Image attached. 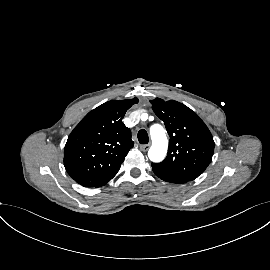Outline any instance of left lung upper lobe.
Segmentation results:
<instances>
[{
	"mask_svg": "<svg viewBox=\"0 0 270 270\" xmlns=\"http://www.w3.org/2000/svg\"><path fill=\"white\" fill-rule=\"evenodd\" d=\"M155 114L164 122L170 136L166 158L152 163V168L182 177L196 179L210 164L213 137L199 116L190 108L174 100L165 102L160 98L150 100Z\"/></svg>",
	"mask_w": 270,
	"mask_h": 270,
	"instance_id": "1",
	"label": "left lung upper lobe"
}]
</instances>
